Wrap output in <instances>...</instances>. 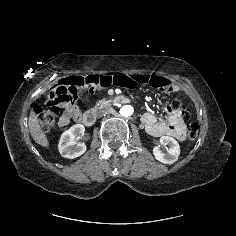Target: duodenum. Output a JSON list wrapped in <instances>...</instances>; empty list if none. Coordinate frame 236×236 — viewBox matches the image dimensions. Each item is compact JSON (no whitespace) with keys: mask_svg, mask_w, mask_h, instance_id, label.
I'll list each match as a JSON object with an SVG mask.
<instances>
[{"mask_svg":"<svg viewBox=\"0 0 236 236\" xmlns=\"http://www.w3.org/2000/svg\"><path fill=\"white\" fill-rule=\"evenodd\" d=\"M129 102H130V99L126 96H123V95L114 96V97L108 99L103 104H101L98 109H91V110L85 112L83 115H81L80 120L86 126H92L96 121V116H97V113H98L99 110L106 109L112 104H116V103L126 104V103H129Z\"/></svg>","mask_w":236,"mask_h":236,"instance_id":"obj_1","label":"duodenum"}]
</instances>
